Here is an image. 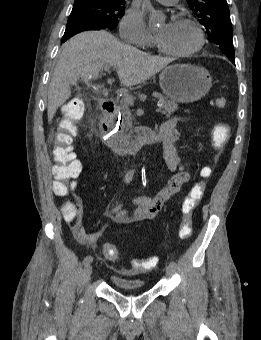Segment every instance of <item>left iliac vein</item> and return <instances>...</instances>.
Segmentation results:
<instances>
[{
	"mask_svg": "<svg viewBox=\"0 0 261 340\" xmlns=\"http://www.w3.org/2000/svg\"><path fill=\"white\" fill-rule=\"evenodd\" d=\"M175 270H176V268H175V267H172L171 265H167V266L165 267V271H166L168 274H170V275L174 274Z\"/></svg>",
	"mask_w": 261,
	"mask_h": 340,
	"instance_id": "obj_1",
	"label": "left iliac vein"
}]
</instances>
